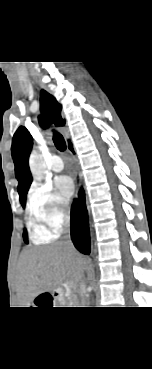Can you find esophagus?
<instances>
[{
	"mask_svg": "<svg viewBox=\"0 0 152 369\" xmlns=\"http://www.w3.org/2000/svg\"><path fill=\"white\" fill-rule=\"evenodd\" d=\"M74 179H75V183H76V198H79V192L81 190L82 182H81V174H80L78 169L75 172Z\"/></svg>",
	"mask_w": 152,
	"mask_h": 369,
	"instance_id": "1",
	"label": "esophagus"
}]
</instances>
